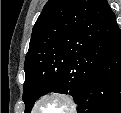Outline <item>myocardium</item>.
Here are the masks:
<instances>
[{"label":"myocardium","mask_w":121,"mask_h":113,"mask_svg":"<svg viewBox=\"0 0 121 113\" xmlns=\"http://www.w3.org/2000/svg\"><path fill=\"white\" fill-rule=\"evenodd\" d=\"M49 98H56L64 101L68 107V110L65 113H71V111L76 110V102L72 96L64 92L53 91V92L46 93L37 99L33 107L34 113H38V108L41 105V103Z\"/></svg>","instance_id":"f54148a6"}]
</instances>
